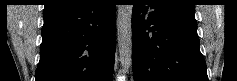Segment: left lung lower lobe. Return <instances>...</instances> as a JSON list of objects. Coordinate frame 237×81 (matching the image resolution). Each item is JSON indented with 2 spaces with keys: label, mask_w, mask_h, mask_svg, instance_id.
<instances>
[{
  "label": "left lung lower lobe",
  "mask_w": 237,
  "mask_h": 81,
  "mask_svg": "<svg viewBox=\"0 0 237 81\" xmlns=\"http://www.w3.org/2000/svg\"><path fill=\"white\" fill-rule=\"evenodd\" d=\"M134 81H208L195 11L161 0H135L132 11Z\"/></svg>",
  "instance_id": "left-lung-lower-lobe-1"
}]
</instances>
